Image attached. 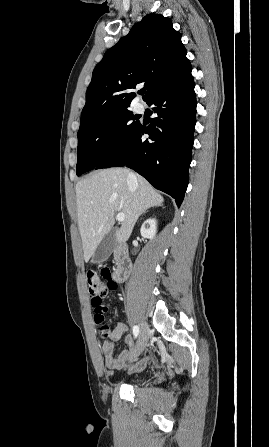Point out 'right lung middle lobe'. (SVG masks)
<instances>
[{"instance_id":"obj_1","label":"right lung middle lobe","mask_w":269,"mask_h":447,"mask_svg":"<svg viewBox=\"0 0 269 447\" xmlns=\"http://www.w3.org/2000/svg\"><path fill=\"white\" fill-rule=\"evenodd\" d=\"M128 108L107 112L79 128L76 174L90 171L120 148L140 123Z\"/></svg>"}]
</instances>
